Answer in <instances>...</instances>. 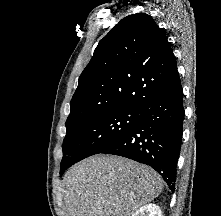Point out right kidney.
Masks as SVG:
<instances>
[{
    "instance_id": "right-kidney-1",
    "label": "right kidney",
    "mask_w": 221,
    "mask_h": 216,
    "mask_svg": "<svg viewBox=\"0 0 221 216\" xmlns=\"http://www.w3.org/2000/svg\"><path fill=\"white\" fill-rule=\"evenodd\" d=\"M132 216H162V212L158 205L150 203L140 207Z\"/></svg>"
}]
</instances>
